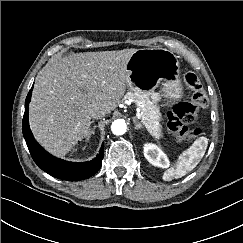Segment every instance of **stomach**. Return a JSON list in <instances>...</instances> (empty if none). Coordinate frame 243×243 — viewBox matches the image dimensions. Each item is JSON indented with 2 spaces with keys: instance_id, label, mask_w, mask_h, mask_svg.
<instances>
[{
  "instance_id": "stomach-1",
  "label": "stomach",
  "mask_w": 243,
  "mask_h": 243,
  "mask_svg": "<svg viewBox=\"0 0 243 243\" xmlns=\"http://www.w3.org/2000/svg\"><path fill=\"white\" fill-rule=\"evenodd\" d=\"M127 86L132 91L151 92L162 83L161 95L170 101L182 96L179 62L173 52L164 48L138 49L128 60Z\"/></svg>"
}]
</instances>
